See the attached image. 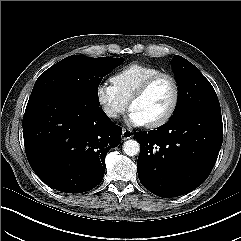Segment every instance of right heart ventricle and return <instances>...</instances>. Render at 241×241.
Returning <instances> with one entry per match:
<instances>
[{
  "mask_svg": "<svg viewBox=\"0 0 241 241\" xmlns=\"http://www.w3.org/2000/svg\"><path fill=\"white\" fill-rule=\"evenodd\" d=\"M160 72V69L151 65L131 63L117 71L111 77V82L119 94L129 101L132 94L145 80Z\"/></svg>",
  "mask_w": 241,
  "mask_h": 241,
  "instance_id": "right-heart-ventricle-1",
  "label": "right heart ventricle"
}]
</instances>
